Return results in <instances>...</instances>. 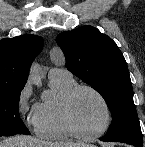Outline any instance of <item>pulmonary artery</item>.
I'll list each match as a JSON object with an SVG mask.
<instances>
[{"label":"pulmonary artery","instance_id":"e3ab8cb5","mask_svg":"<svg viewBox=\"0 0 145 147\" xmlns=\"http://www.w3.org/2000/svg\"><path fill=\"white\" fill-rule=\"evenodd\" d=\"M49 77H72V74L65 68L53 67L49 71Z\"/></svg>","mask_w":145,"mask_h":147}]
</instances>
